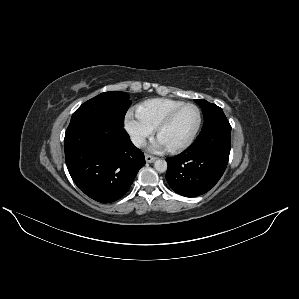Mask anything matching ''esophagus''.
<instances>
[{
	"instance_id": "34e87169",
	"label": "esophagus",
	"mask_w": 299,
	"mask_h": 299,
	"mask_svg": "<svg viewBox=\"0 0 299 299\" xmlns=\"http://www.w3.org/2000/svg\"><path fill=\"white\" fill-rule=\"evenodd\" d=\"M156 159H157V158L154 157V156H152V155H148V154L145 155V160H146L147 163H152V162H154Z\"/></svg>"
}]
</instances>
